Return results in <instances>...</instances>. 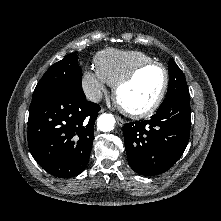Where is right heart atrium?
Listing matches in <instances>:
<instances>
[{
  "label": "right heart atrium",
  "mask_w": 221,
  "mask_h": 221,
  "mask_svg": "<svg viewBox=\"0 0 221 221\" xmlns=\"http://www.w3.org/2000/svg\"><path fill=\"white\" fill-rule=\"evenodd\" d=\"M106 84L108 83L96 71L86 70L82 76V91L91 101L99 99Z\"/></svg>",
  "instance_id": "1"
}]
</instances>
